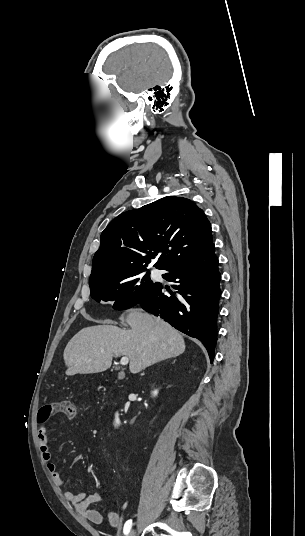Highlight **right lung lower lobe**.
I'll use <instances>...</instances> for the list:
<instances>
[{"label":"right lung lower lobe","instance_id":"right-lung-lower-lobe-1","mask_svg":"<svg viewBox=\"0 0 305 536\" xmlns=\"http://www.w3.org/2000/svg\"><path fill=\"white\" fill-rule=\"evenodd\" d=\"M163 277L173 281L177 291L163 293L157 284L138 304L206 347L211 362L217 340V315L221 295V274L214 244L207 250L165 268Z\"/></svg>","mask_w":305,"mask_h":536}]
</instances>
